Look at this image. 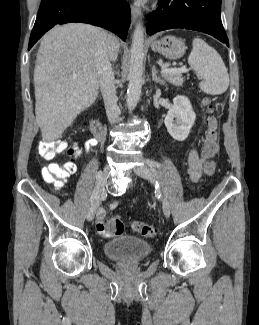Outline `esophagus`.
Returning <instances> with one entry per match:
<instances>
[{
    "instance_id": "34e87169",
    "label": "esophagus",
    "mask_w": 259,
    "mask_h": 325,
    "mask_svg": "<svg viewBox=\"0 0 259 325\" xmlns=\"http://www.w3.org/2000/svg\"><path fill=\"white\" fill-rule=\"evenodd\" d=\"M131 16H132V22L136 23L138 19L141 17V11L139 8L131 6Z\"/></svg>"
}]
</instances>
